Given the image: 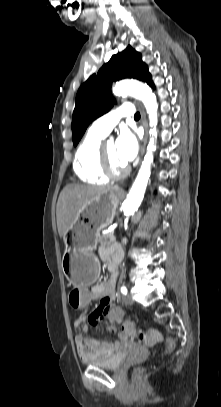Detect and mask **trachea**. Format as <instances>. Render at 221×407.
<instances>
[{"mask_svg": "<svg viewBox=\"0 0 221 407\" xmlns=\"http://www.w3.org/2000/svg\"><path fill=\"white\" fill-rule=\"evenodd\" d=\"M134 119H140V113H139V112H137V113L135 114Z\"/></svg>", "mask_w": 221, "mask_h": 407, "instance_id": "3493384b", "label": "trachea"}]
</instances>
